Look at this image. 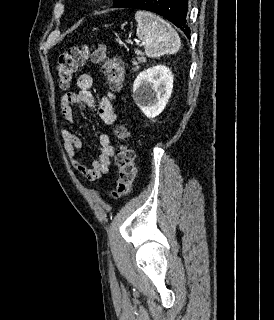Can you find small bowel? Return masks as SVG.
I'll use <instances>...</instances> for the list:
<instances>
[{
  "label": "small bowel",
  "instance_id": "1",
  "mask_svg": "<svg viewBox=\"0 0 274 320\" xmlns=\"http://www.w3.org/2000/svg\"><path fill=\"white\" fill-rule=\"evenodd\" d=\"M93 84V78L88 73H83L77 80V91L68 92L61 97L60 106L63 118L69 124H74L75 118L73 105L85 104L90 108L95 107V99L90 88ZM115 97L111 94H105L101 97L98 105V114L101 120L107 126L115 124L117 116L114 110ZM61 138L63 148L74 169L89 181H95L110 170L111 160L116 153L115 146L111 137L106 133H101L98 137L101 153L99 157L92 162L89 167L78 157V152L82 149V141L73 132L67 128H61Z\"/></svg>",
  "mask_w": 274,
  "mask_h": 320
}]
</instances>
